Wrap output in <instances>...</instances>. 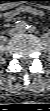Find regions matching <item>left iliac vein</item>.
<instances>
[{"label": "left iliac vein", "mask_w": 50, "mask_h": 111, "mask_svg": "<svg viewBox=\"0 0 50 111\" xmlns=\"http://www.w3.org/2000/svg\"><path fill=\"white\" fill-rule=\"evenodd\" d=\"M25 30L24 29H19L18 32L19 33H23Z\"/></svg>", "instance_id": "4c4485c4"}]
</instances>
